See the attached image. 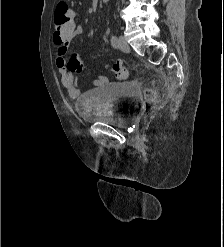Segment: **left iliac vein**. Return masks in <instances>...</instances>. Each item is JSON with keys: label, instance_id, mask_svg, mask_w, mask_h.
Returning <instances> with one entry per match:
<instances>
[{"label": "left iliac vein", "instance_id": "obj_1", "mask_svg": "<svg viewBox=\"0 0 224 247\" xmlns=\"http://www.w3.org/2000/svg\"><path fill=\"white\" fill-rule=\"evenodd\" d=\"M118 48L125 52V53H128L130 51V47L125 39L124 36H120L119 39H118Z\"/></svg>", "mask_w": 224, "mask_h": 247}]
</instances>
